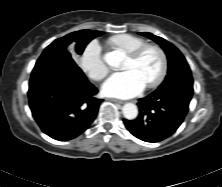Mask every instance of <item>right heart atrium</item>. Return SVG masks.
<instances>
[{
	"instance_id": "right-heart-atrium-1",
	"label": "right heart atrium",
	"mask_w": 222,
	"mask_h": 187,
	"mask_svg": "<svg viewBox=\"0 0 222 187\" xmlns=\"http://www.w3.org/2000/svg\"><path fill=\"white\" fill-rule=\"evenodd\" d=\"M79 65L81 69L93 80L100 81L109 73V67L105 62L98 41H90L83 49Z\"/></svg>"
}]
</instances>
